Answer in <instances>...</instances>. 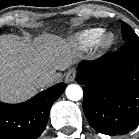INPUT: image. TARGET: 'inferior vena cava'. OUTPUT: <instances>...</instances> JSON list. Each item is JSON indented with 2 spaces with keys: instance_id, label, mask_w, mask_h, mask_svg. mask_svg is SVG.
<instances>
[{
  "instance_id": "602c4592",
  "label": "inferior vena cava",
  "mask_w": 139,
  "mask_h": 139,
  "mask_svg": "<svg viewBox=\"0 0 139 139\" xmlns=\"http://www.w3.org/2000/svg\"><path fill=\"white\" fill-rule=\"evenodd\" d=\"M55 81H56V75L55 74L45 73V74H42L37 79L36 84L39 88H44V87L51 85Z\"/></svg>"
}]
</instances>
